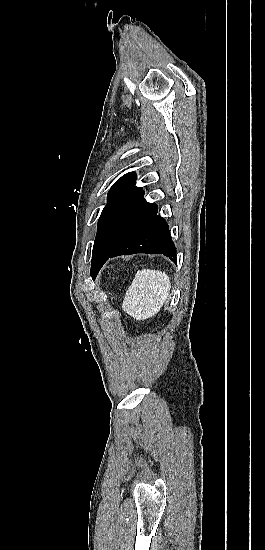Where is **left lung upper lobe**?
Returning <instances> with one entry per match:
<instances>
[{"label": "left lung upper lobe", "instance_id": "left-lung-upper-lobe-1", "mask_svg": "<svg viewBox=\"0 0 265 550\" xmlns=\"http://www.w3.org/2000/svg\"><path fill=\"white\" fill-rule=\"evenodd\" d=\"M137 175L122 176L108 192V203L98 221L93 253L104 255L111 251L157 205L144 199L142 188L136 187Z\"/></svg>", "mask_w": 265, "mask_h": 550}]
</instances>
